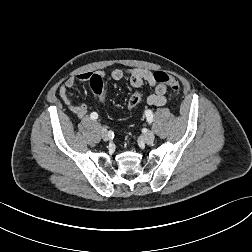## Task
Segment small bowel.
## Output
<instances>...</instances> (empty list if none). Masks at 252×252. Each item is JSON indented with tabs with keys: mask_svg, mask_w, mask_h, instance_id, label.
Returning <instances> with one entry per match:
<instances>
[{
	"mask_svg": "<svg viewBox=\"0 0 252 252\" xmlns=\"http://www.w3.org/2000/svg\"><path fill=\"white\" fill-rule=\"evenodd\" d=\"M93 74L91 72L81 73L78 76L70 77L59 87V95L63 99L67 108L78 119H83L88 114V107L86 104H75L68 96V90L73 88L77 82L88 81ZM129 77V82L134 88L141 87L147 83L153 88L152 94L147 98V104L150 106H163L166 103V86L159 84L154 79V74L147 69L132 68L127 70L114 69L111 72V77L114 80H121L124 77Z\"/></svg>",
	"mask_w": 252,
	"mask_h": 252,
	"instance_id": "small-bowel-1",
	"label": "small bowel"
}]
</instances>
